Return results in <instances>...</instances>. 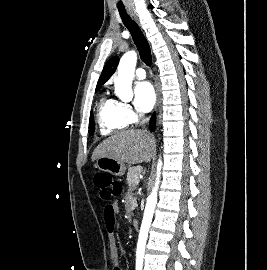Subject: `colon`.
I'll use <instances>...</instances> for the list:
<instances>
[{
  "instance_id": "colon-1",
  "label": "colon",
  "mask_w": 267,
  "mask_h": 270,
  "mask_svg": "<svg viewBox=\"0 0 267 270\" xmlns=\"http://www.w3.org/2000/svg\"><path fill=\"white\" fill-rule=\"evenodd\" d=\"M94 185L103 201H109L111 198L118 196L122 191L120 182L107 173L96 174Z\"/></svg>"
}]
</instances>
